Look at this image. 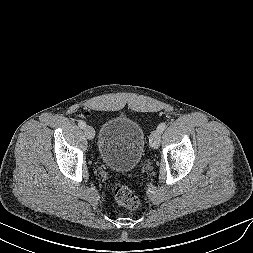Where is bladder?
Segmentation results:
<instances>
[{"label": "bladder", "instance_id": "31cf9c89", "mask_svg": "<svg viewBox=\"0 0 253 253\" xmlns=\"http://www.w3.org/2000/svg\"><path fill=\"white\" fill-rule=\"evenodd\" d=\"M145 143L144 130L135 120L117 116L102 124L97 137V152L108 168L131 172L141 161Z\"/></svg>", "mask_w": 253, "mask_h": 253}]
</instances>
